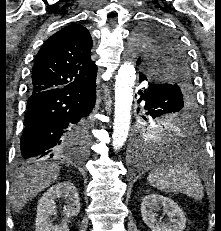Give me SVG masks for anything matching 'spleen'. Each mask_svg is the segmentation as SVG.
I'll list each match as a JSON object with an SVG mask.
<instances>
[{"label":"spleen","instance_id":"3e777b00","mask_svg":"<svg viewBox=\"0 0 221 231\" xmlns=\"http://www.w3.org/2000/svg\"><path fill=\"white\" fill-rule=\"evenodd\" d=\"M149 185L163 192L186 194L195 200L204 196L199 176L180 162L166 161L158 165L147 177Z\"/></svg>","mask_w":221,"mask_h":231}]
</instances>
